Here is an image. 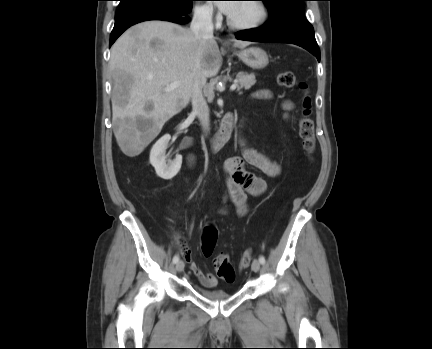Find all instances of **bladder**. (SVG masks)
<instances>
[{
    "label": "bladder",
    "instance_id": "1",
    "mask_svg": "<svg viewBox=\"0 0 432 349\" xmlns=\"http://www.w3.org/2000/svg\"><path fill=\"white\" fill-rule=\"evenodd\" d=\"M198 292L204 298L213 301H221L230 296V293L222 289H207V288L199 287Z\"/></svg>",
    "mask_w": 432,
    "mask_h": 349
}]
</instances>
